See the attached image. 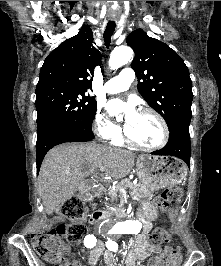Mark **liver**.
<instances>
[{
  "instance_id": "1",
  "label": "liver",
  "mask_w": 221,
  "mask_h": 266,
  "mask_svg": "<svg viewBox=\"0 0 221 266\" xmlns=\"http://www.w3.org/2000/svg\"><path fill=\"white\" fill-rule=\"evenodd\" d=\"M135 156L126 150H113L95 143H66L51 149L39 172V192L45 212L50 215L75 192L87 188L86 177L105 167V175L116 179L127 176Z\"/></svg>"
}]
</instances>
